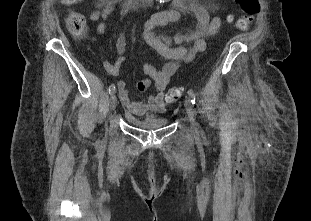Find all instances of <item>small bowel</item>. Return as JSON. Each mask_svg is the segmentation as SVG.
Returning <instances> with one entry per match:
<instances>
[{"label": "small bowel", "instance_id": "obj_1", "mask_svg": "<svg viewBox=\"0 0 311 221\" xmlns=\"http://www.w3.org/2000/svg\"><path fill=\"white\" fill-rule=\"evenodd\" d=\"M117 1L100 0L98 7L90 13L89 19L91 21L102 20L97 26L99 33L105 31V21L113 12ZM186 11H190L196 16L197 24L193 30L179 32L174 36L157 34L154 31L158 26L180 21ZM220 25V18H211L198 0H173L172 9L154 14L145 21L142 26L145 42L165 58L166 62L160 69L150 63L144 64V71L149 78L138 83V90L145 91L152 84L154 85V92L145 99L132 100L126 89V83L118 81V94L128 111L138 116L147 113H163L165 111L164 95L170 77L178 70L181 63L192 61L196 55L206 49L205 38L214 35ZM117 49L120 55L115 63H104L105 68L112 75H117L120 67L125 63L123 55L125 51L124 34L118 38Z\"/></svg>", "mask_w": 311, "mask_h": 221}]
</instances>
